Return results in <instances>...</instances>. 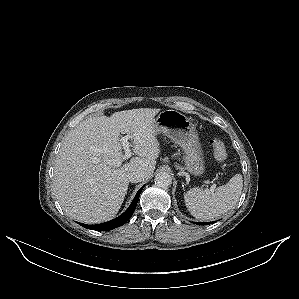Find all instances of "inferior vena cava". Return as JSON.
Returning a JSON list of instances; mask_svg holds the SVG:
<instances>
[{"instance_id":"602c4592","label":"inferior vena cava","mask_w":299,"mask_h":299,"mask_svg":"<svg viewBox=\"0 0 299 299\" xmlns=\"http://www.w3.org/2000/svg\"><path fill=\"white\" fill-rule=\"evenodd\" d=\"M145 179V172L141 169H136L128 174V180L131 183H138Z\"/></svg>"}]
</instances>
